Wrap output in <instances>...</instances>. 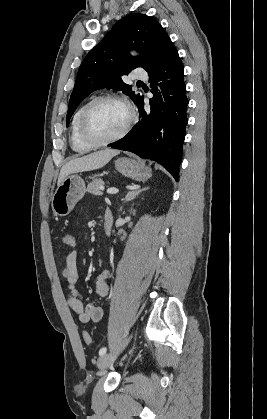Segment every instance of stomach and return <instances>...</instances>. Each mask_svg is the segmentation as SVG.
Wrapping results in <instances>:
<instances>
[{"instance_id": "1", "label": "stomach", "mask_w": 267, "mask_h": 419, "mask_svg": "<svg viewBox=\"0 0 267 419\" xmlns=\"http://www.w3.org/2000/svg\"><path fill=\"white\" fill-rule=\"evenodd\" d=\"M115 168L122 175L136 181L151 177V169L144 161L130 158H119ZM86 192L85 182L78 174H69L58 185L52 197V210L56 216L68 215Z\"/></svg>"}]
</instances>
